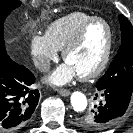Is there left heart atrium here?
<instances>
[{
	"label": "left heart atrium",
	"instance_id": "obj_1",
	"mask_svg": "<svg viewBox=\"0 0 133 133\" xmlns=\"http://www.w3.org/2000/svg\"><path fill=\"white\" fill-rule=\"evenodd\" d=\"M77 76L75 70L68 64L64 63L57 67L46 79L53 86H61L70 82Z\"/></svg>",
	"mask_w": 133,
	"mask_h": 133
}]
</instances>
